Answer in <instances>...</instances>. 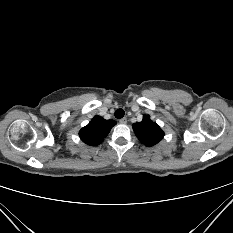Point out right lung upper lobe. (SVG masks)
<instances>
[{
    "mask_svg": "<svg viewBox=\"0 0 233 233\" xmlns=\"http://www.w3.org/2000/svg\"><path fill=\"white\" fill-rule=\"evenodd\" d=\"M115 124L114 120H105L100 116H95L87 126L79 131V136L85 144L97 146L103 142Z\"/></svg>",
    "mask_w": 233,
    "mask_h": 233,
    "instance_id": "obj_1",
    "label": "right lung upper lobe"
}]
</instances>
